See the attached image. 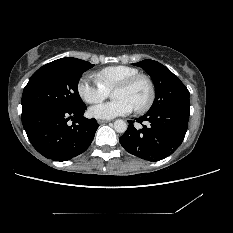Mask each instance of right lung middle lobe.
I'll use <instances>...</instances> for the list:
<instances>
[{
	"instance_id": "obj_1",
	"label": "right lung middle lobe",
	"mask_w": 233,
	"mask_h": 233,
	"mask_svg": "<svg viewBox=\"0 0 233 233\" xmlns=\"http://www.w3.org/2000/svg\"><path fill=\"white\" fill-rule=\"evenodd\" d=\"M93 66L81 59L61 58L39 68L24 88L22 116L47 107L75 110L84 106L78 82Z\"/></svg>"
}]
</instances>
